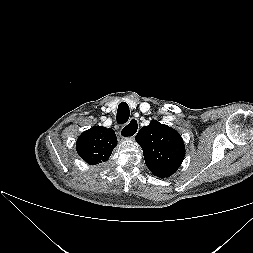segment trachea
Instances as JSON below:
<instances>
[{"label":"trachea","mask_w":253,"mask_h":253,"mask_svg":"<svg viewBox=\"0 0 253 253\" xmlns=\"http://www.w3.org/2000/svg\"><path fill=\"white\" fill-rule=\"evenodd\" d=\"M130 116V110L129 106L127 103L122 102L118 105V110H117V123L123 124L126 123L129 119ZM132 121L130 122L129 125H132Z\"/></svg>","instance_id":"trachea-1"}]
</instances>
